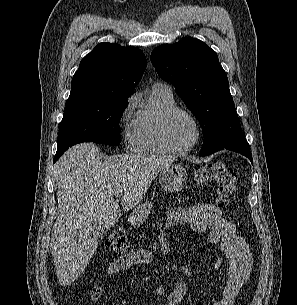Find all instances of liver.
Segmentation results:
<instances>
[{
  "mask_svg": "<svg viewBox=\"0 0 297 305\" xmlns=\"http://www.w3.org/2000/svg\"><path fill=\"white\" fill-rule=\"evenodd\" d=\"M102 158L97 146L81 143L55 164L58 216L50 251L61 286L80 276L97 249L98 241L89 236L92 225L108 229L121 217L115 194H120L125 211L136 207L157 174L174 160L146 154Z\"/></svg>",
  "mask_w": 297,
  "mask_h": 305,
  "instance_id": "1",
  "label": "liver"
}]
</instances>
